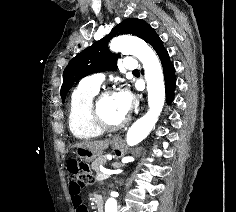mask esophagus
Masks as SVG:
<instances>
[{"mask_svg":"<svg viewBox=\"0 0 236 212\" xmlns=\"http://www.w3.org/2000/svg\"><path fill=\"white\" fill-rule=\"evenodd\" d=\"M116 141H118V138L116 137V138H114V142H116Z\"/></svg>","mask_w":236,"mask_h":212,"instance_id":"obj_1","label":"esophagus"}]
</instances>
